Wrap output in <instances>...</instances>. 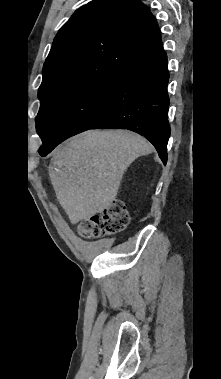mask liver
Returning a JSON list of instances; mask_svg holds the SVG:
<instances>
[{
	"label": "liver",
	"mask_w": 221,
	"mask_h": 379,
	"mask_svg": "<svg viewBox=\"0 0 221 379\" xmlns=\"http://www.w3.org/2000/svg\"><path fill=\"white\" fill-rule=\"evenodd\" d=\"M153 150L145 138L127 130L87 131L58 146L49 176L70 222L110 207L128 166Z\"/></svg>",
	"instance_id": "6515ba94"
}]
</instances>
